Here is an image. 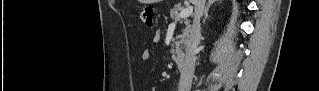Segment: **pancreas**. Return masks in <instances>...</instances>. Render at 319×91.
I'll return each mask as SVG.
<instances>
[{
    "label": "pancreas",
    "instance_id": "obj_1",
    "mask_svg": "<svg viewBox=\"0 0 319 91\" xmlns=\"http://www.w3.org/2000/svg\"><path fill=\"white\" fill-rule=\"evenodd\" d=\"M182 10V7L180 5H176L170 12L171 18L177 23V22H183L185 23V28L183 29V34L181 36H178L173 39L172 44V58L173 59H182L184 57V48L186 43L188 42L189 33L191 29L190 21L188 19H180L178 18L179 12Z\"/></svg>",
    "mask_w": 319,
    "mask_h": 91
}]
</instances>
